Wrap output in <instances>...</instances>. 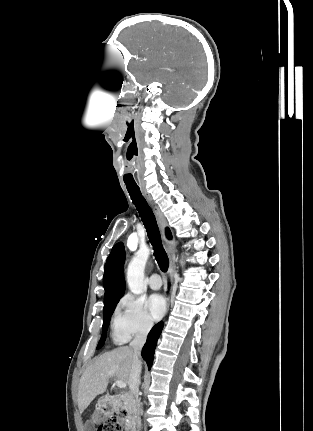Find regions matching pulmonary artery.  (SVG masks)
<instances>
[{"instance_id":"pulmonary-artery-1","label":"pulmonary artery","mask_w":313,"mask_h":431,"mask_svg":"<svg viewBox=\"0 0 313 431\" xmlns=\"http://www.w3.org/2000/svg\"><path fill=\"white\" fill-rule=\"evenodd\" d=\"M148 283L151 289L158 290L162 285V280L158 274L154 273L149 277Z\"/></svg>"}]
</instances>
